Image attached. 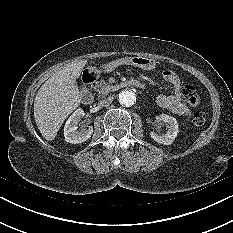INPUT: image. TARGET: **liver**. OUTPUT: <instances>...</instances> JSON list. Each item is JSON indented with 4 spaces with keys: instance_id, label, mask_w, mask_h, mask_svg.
<instances>
[{
    "instance_id": "6515ba94",
    "label": "liver",
    "mask_w": 233,
    "mask_h": 233,
    "mask_svg": "<svg viewBox=\"0 0 233 233\" xmlns=\"http://www.w3.org/2000/svg\"><path fill=\"white\" fill-rule=\"evenodd\" d=\"M87 61L67 64L53 74L38 90L34 101L36 125L47 141L57 135L65 119L80 105L78 78Z\"/></svg>"
}]
</instances>
